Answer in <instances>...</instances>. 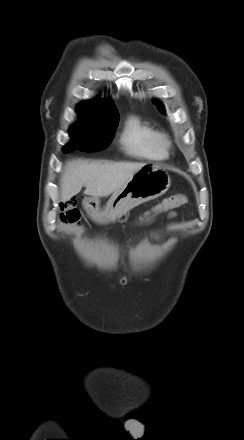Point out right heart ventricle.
<instances>
[{
  "instance_id": "1",
  "label": "right heart ventricle",
  "mask_w": 244,
  "mask_h": 440,
  "mask_svg": "<svg viewBox=\"0 0 244 440\" xmlns=\"http://www.w3.org/2000/svg\"><path fill=\"white\" fill-rule=\"evenodd\" d=\"M154 134L155 131L140 117L130 115L124 122L119 143L129 155L147 159H161L165 154L154 146Z\"/></svg>"
}]
</instances>
